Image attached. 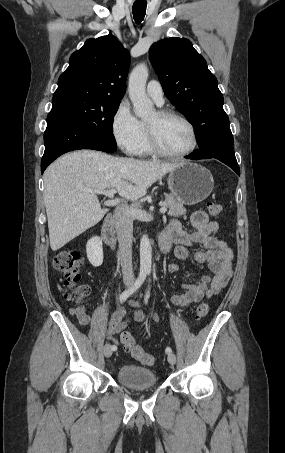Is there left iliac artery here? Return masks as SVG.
Masks as SVG:
<instances>
[{
    "mask_svg": "<svg viewBox=\"0 0 285 453\" xmlns=\"http://www.w3.org/2000/svg\"><path fill=\"white\" fill-rule=\"evenodd\" d=\"M149 297H150V290H147V292L145 294V298H144L145 304H147ZM165 351L167 354H170L172 352V349L170 347H167Z\"/></svg>",
    "mask_w": 285,
    "mask_h": 453,
    "instance_id": "obj_1",
    "label": "left iliac artery"
}]
</instances>
